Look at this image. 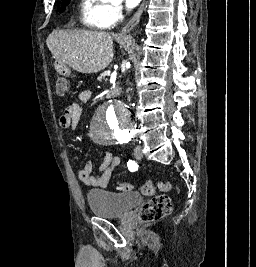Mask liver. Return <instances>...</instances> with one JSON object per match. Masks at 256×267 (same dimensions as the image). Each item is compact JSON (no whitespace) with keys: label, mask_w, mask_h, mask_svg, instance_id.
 I'll use <instances>...</instances> for the list:
<instances>
[{"label":"liver","mask_w":256,"mask_h":267,"mask_svg":"<svg viewBox=\"0 0 256 267\" xmlns=\"http://www.w3.org/2000/svg\"><path fill=\"white\" fill-rule=\"evenodd\" d=\"M117 42H124L113 36ZM113 38L108 32L53 30L46 44L54 58L76 72L96 74L105 70L114 58ZM128 42V38H125Z\"/></svg>","instance_id":"1"}]
</instances>
